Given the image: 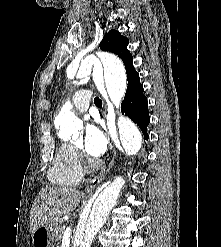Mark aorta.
I'll use <instances>...</instances> for the list:
<instances>
[{
	"label": "aorta",
	"instance_id": "obj_1",
	"mask_svg": "<svg viewBox=\"0 0 221 247\" xmlns=\"http://www.w3.org/2000/svg\"><path fill=\"white\" fill-rule=\"evenodd\" d=\"M92 68L95 73H100L102 77L104 71V80L109 97L115 106L119 107L127 87L126 74L121 61L114 56L98 52L96 56L87 57L79 63L70 64L67 68V74L69 76L75 75L76 80H81L91 74ZM71 109L72 104L67 101L61 108L57 121L60 125V132L65 133L67 139L77 140L81 136L83 124ZM118 128L121 147L128 155H136L142 145L140 131L130 119L125 117L119 118ZM124 184L123 178H117L100 192L93 203L83 235L76 243V247H91L95 235L116 205Z\"/></svg>",
	"mask_w": 221,
	"mask_h": 247
}]
</instances>
